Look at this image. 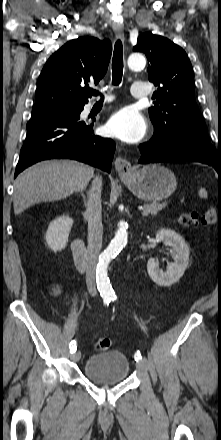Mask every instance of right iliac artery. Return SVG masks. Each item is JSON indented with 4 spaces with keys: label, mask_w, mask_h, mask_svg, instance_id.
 <instances>
[{
    "label": "right iliac artery",
    "mask_w": 221,
    "mask_h": 440,
    "mask_svg": "<svg viewBox=\"0 0 221 440\" xmlns=\"http://www.w3.org/2000/svg\"><path fill=\"white\" fill-rule=\"evenodd\" d=\"M110 301H111V298L104 297V304L108 305L110 303ZM69 347H70V353H75V351L77 350L76 341H74V340L71 341Z\"/></svg>",
    "instance_id": "obj_1"
}]
</instances>
